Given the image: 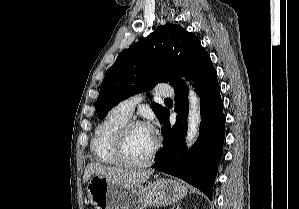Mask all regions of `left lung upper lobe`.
Wrapping results in <instances>:
<instances>
[{"instance_id":"left-lung-upper-lobe-1","label":"left lung upper lobe","mask_w":299,"mask_h":209,"mask_svg":"<svg viewBox=\"0 0 299 209\" xmlns=\"http://www.w3.org/2000/svg\"><path fill=\"white\" fill-rule=\"evenodd\" d=\"M208 53L192 33L175 24L158 27L153 33L122 51L103 79L97 98V116H103L127 97L150 90L158 82L176 87L188 80L209 59ZM164 75H159L160 71ZM162 122L168 109L153 103Z\"/></svg>"}]
</instances>
